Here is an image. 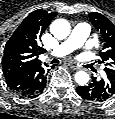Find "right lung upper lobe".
Instances as JSON below:
<instances>
[{"label": "right lung upper lobe", "instance_id": "1", "mask_svg": "<svg viewBox=\"0 0 115 119\" xmlns=\"http://www.w3.org/2000/svg\"><path fill=\"white\" fill-rule=\"evenodd\" d=\"M57 12L48 13L39 9L31 12L13 33L5 45L2 58L4 76L27 67L41 65L38 59L43 49L39 46L42 33Z\"/></svg>", "mask_w": 115, "mask_h": 119}]
</instances>
